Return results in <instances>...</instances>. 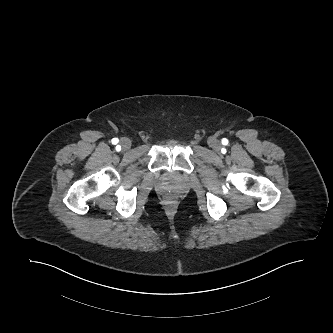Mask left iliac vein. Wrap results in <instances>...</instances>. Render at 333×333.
Returning a JSON list of instances; mask_svg holds the SVG:
<instances>
[{
  "instance_id": "1",
  "label": "left iliac vein",
  "mask_w": 333,
  "mask_h": 333,
  "mask_svg": "<svg viewBox=\"0 0 333 333\" xmlns=\"http://www.w3.org/2000/svg\"><path fill=\"white\" fill-rule=\"evenodd\" d=\"M209 144L216 152H219L220 147H221V144L219 141H217L215 139H211Z\"/></svg>"
}]
</instances>
